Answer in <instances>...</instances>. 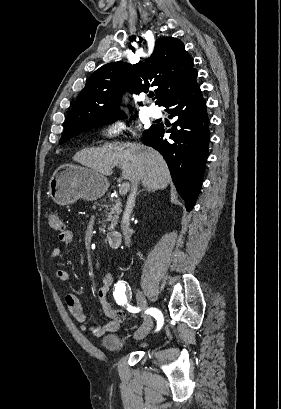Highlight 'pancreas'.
I'll list each match as a JSON object with an SVG mask.
<instances>
[{
  "instance_id": "cf45deb5",
  "label": "pancreas",
  "mask_w": 281,
  "mask_h": 409,
  "mask_svg": "<svg viewBox=\"0 0 281 409\" xmlns=\"http://www.w3.org/2000/svg\"><path fill=\"white\" fill-rule=\"evenodd\" d=\"M113 202H116V205H106V207H111V209H108V211H110V213H108V219H106V221H111V225L110 227H108L109 231H112V229H114V227H116V225H118V219H119V215H121V202H120V198H117V200H115V198H112ZM102 225H105V221L104 223H102Z\"/></svg>"
}]
</instances>
